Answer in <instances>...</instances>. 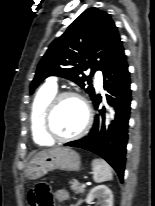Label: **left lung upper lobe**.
Wrapping results in <instances>:
<instances>
[{
    "label": "left lung upper lobe",
    "instance_id": "1",
    "mask_svg": "<svg viewBox=\"0 0 155 206\" xmlns=\"http://www.w3.org/2000/svg\"><path fill=\"white\" fill-rule=\"evenodd\" d=\"M122 49L110 15L97 8H88L50 44L37 67L30 93L49 76L70 79L84 88L85 82L91 83L85 71L90 70L91 75L97 70L105 72ZM85 91L91 99L94 97L91 85Z\"/></svg>",
    "mask_w": 155,
    "mask_h": 206
}]
</instances>
